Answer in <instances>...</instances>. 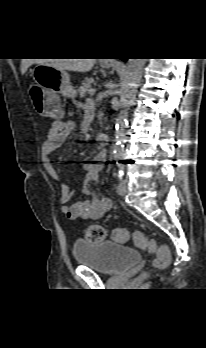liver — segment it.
<instances>
[{
	"instance_id": "liver-1",
	"label": "liver",
	"mask_w": 206,
	"mask_h": 348,
	"mask_svg": "<svg viewBox=\"0 0 206 348\" xmlns=\"http://www.w3.org/2000/svg\"><path fill=\"white\" fill-rule=\"evenodd\" d=\"M95 62L96 59H23L21 62V73L24 74L34 63L52 66L60 70L85 73L89 72L93 68Z\"/></svg>"
}]
</instances>
